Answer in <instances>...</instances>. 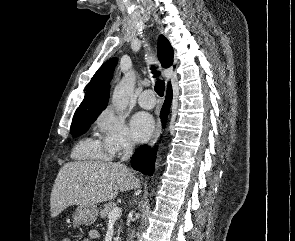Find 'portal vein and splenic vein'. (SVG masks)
<instances>
[{"mask_svg": "<svg viewBox=\"0 0 295 241\" xmlns=\"http://www.w3.org/2000/svg\"><path fill=\"white\" fill-rule=\"evenodd\" d=\"M121 209L118 207L113 208V210L109 213L108 219L109 221H115L120 217Z\"/></svg>", "mask_w": 295, "mask_h": 241, "instance_id": "18ae733b", "label": "portal vein and splenic vein"}]
</instances>
